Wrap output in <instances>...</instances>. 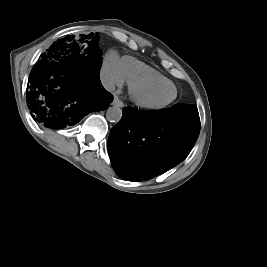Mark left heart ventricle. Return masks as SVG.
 Returning a JSON list of instances; mask_svg holds the SVG:
<instances>
[{
  "label": "left heart ventricle",
  "instance_id": "obj_1",
  "mask_svg": "<svg viewBox=\"0 0 267 267\" xmlns=\"http://www.w3.org/2000/svg\"><path fill=\"white\" fill-rule=\"evenodd\" d=\"M140 95L147 102L160 104L172 99L174 96V89L170 85L152 86L143 89Z\"/></svg>",
  "mask_w": 267,
  "mask_h": 267
}]
</instances>
